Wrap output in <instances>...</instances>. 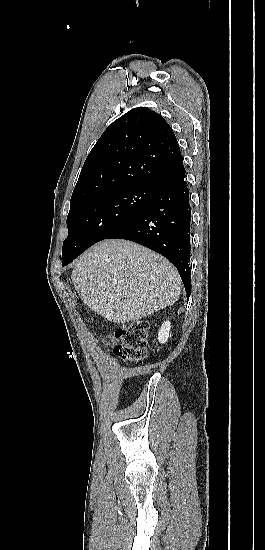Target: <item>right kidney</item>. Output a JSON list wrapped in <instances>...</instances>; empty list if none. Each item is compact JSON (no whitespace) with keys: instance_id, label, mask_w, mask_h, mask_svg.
<instances>
[{"instance_id":"ca27d5eb","label":"right kidney","mask_w":265,"mask_h":550,"mask_svg":"<svg viewBox=\"0 0 265 550\" xmlns=\"http://www.w3.org/2000/svg\"><path fill=\"white\" fill-rule=\"evenodd\" d=\"M170 328H171V325H170V322L169 321H165L159 332H158V340L161 344H164L167 342L168 338H169V332H170Z\"/></svg>"}]
</instances>
